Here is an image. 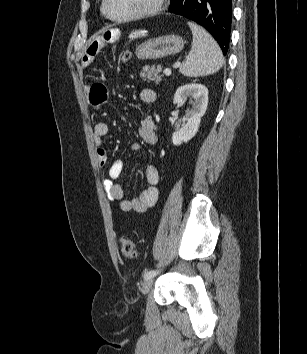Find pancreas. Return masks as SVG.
Segmentation results:
<instances>
[{
	"label": "pancreas",
	"mask_w": 307,
	"mask_h": 354,
	"mask_svg": "<svg viewBox=\"0 0 307 354\" xmlns=\"http://www.w3.org/2000/svg\"><path fill=\"white\" fill-rule=\"evenodd\" d=\"M161 71L162 67L160 65H152L151 67L145 66L140 71L139 75L143 80L148 82L154 81L158 83L162 80Z\"/></svg>",
	"instance_id": "1"
}]
</instances>
